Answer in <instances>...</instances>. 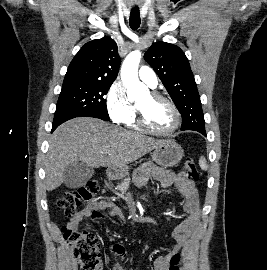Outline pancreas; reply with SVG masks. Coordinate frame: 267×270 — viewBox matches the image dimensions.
<instances>
[{
	"mask_svg": "<svg viewBox=\"0 0 267 270\" xmlns=\"http://www.w3.org/2000/svg\"><path fill=\"white\" fill-rule=\"evenodd\" d=\"M130 184V177L124 178L120 185L117 186V189L121 194L116 193L119 197H124L123 194L128 190Z\"/></svg>",
	"mask_w": 267,
	"mask_h": 270,
	"instance_id": "obj_1",
	"label": "pancreas"
}]
</instances>
